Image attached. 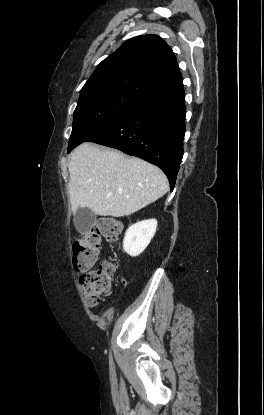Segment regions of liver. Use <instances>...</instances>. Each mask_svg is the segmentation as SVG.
I'll return each instance as SVG.
<instances>
[{
    "label": "liver",
    "mask_w": 264,
    "mask_h": 415,
    "mask_svg": "<svg viewBox=\"0 0 264 415\" xmlns=\"http://www.w3.org/2000/svg\"><path fill=\"white\" fill-rule=\"evenodd\" d=\"M68 169L73 214L88 208L95 215L128 216L169 189L166 175L157 166L88 142L71 153Z\"/></svg>",
    "instance_id": "6515ba94"
}]
</instances>
